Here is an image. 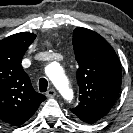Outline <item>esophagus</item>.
Returning <instances> with one entry per match:
<instances>
[{"mask_svg":"<svg viewBox=\"0 0 133 133\" xmlns=\"http://www.w3.org/2000/svg\"><path fill=\"white\" fill-rule=\"evenodd\" d=\"M56 95V91L54 89H49L47 92H46V96L47 97H53Z\"/></svg>","mask_w":133,"mask_h":133,"instance_id":"1","label":"esophagus"}]
</instances>
